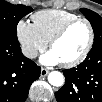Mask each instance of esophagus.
Returning a JSON list of instances; mask_svg holds the SVG:
<instances>
[{"label": "esophagus", "mask_w": 102, "mask_h": 102, "mask_svg": "<svg viewBox=\"0 0 102 102\" xmlns=\"http://www.w3.org/2000/svg\"><path fill=\"white\" fill-rule=\"evenodd\" d=\"M49 73V70L46 68H41V76L45 77Z\"/></svg>", "instance_id": "obj_1"}]
</instances>
